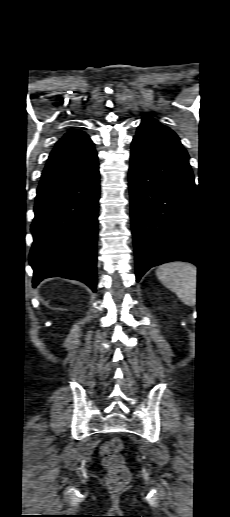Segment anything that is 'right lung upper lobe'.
Segmentation results:
<instances>
[{
    "label": "right lung upper lobe",
    "mask_w": 230,
    "mask_h": 517,
    "mask_svg": "<svg viewBox=\"0 0 230 517\" xmlns=\"http://www.w3.org/2000/svg\"><path fill=\"white\" fill-rule=\"evenodd\" d=\"M97 162L89 136L80 130L67 132L55 145L43 170L40 184L74 176Z\"/></svg>",
    "instance_id": "1"
}]
</instances>
